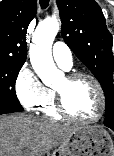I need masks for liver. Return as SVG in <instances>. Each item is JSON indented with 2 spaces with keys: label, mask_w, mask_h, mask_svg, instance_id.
<instances>
[{
  "label": "liver",
  "mask_w": 114,
  "mask_h": 156,
  "mask_svg": "<svg viewBox=\"0 0 114 156\" xmlns=\"http://www.w3.org/2000/svg\"><path fill=\"white\" fill-rule=\"evenodd\" d=\"M76 127L16 113L0 116V156H42Z\"/></svg>",
  "instance_id": "obj_1"
}]
</instances>
